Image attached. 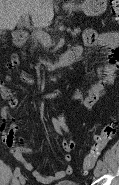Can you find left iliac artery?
<instances>
[{"label":"left iliac artery","instance_id":"44dca946","mask_svg":"<svg viewBox=\"0 0 119 185\" xmlns=\"http://www.w3.org/2000/svg\"><path fill=\"white\" fill-rule=\"evenodd\" d=\"M97 165L102 167L103 166V162L101 160H98Z\"/></svg>","mask_w":119,"mask_h":185}]
</instances>
